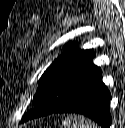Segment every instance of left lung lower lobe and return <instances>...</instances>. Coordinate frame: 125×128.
<instances>
[{
	"mask_svg": "<svg viewBox=\"0 0 125 128\" xmlns=\"http://www.w3.org/2000/svg\"><path fill=\"white\" fill-rule=\"evenodd\" d=\"M110 100L111 94L102 82L101 70L95 66L81 78L67 103L53 113L83 114L102 128H109L111 125Z\"/></svg>",
	"mask_w": 125,
	"mask_h": 128,
	"instance_id": "1",
	"label": "left lung lower lobe"
}]
</instances>
